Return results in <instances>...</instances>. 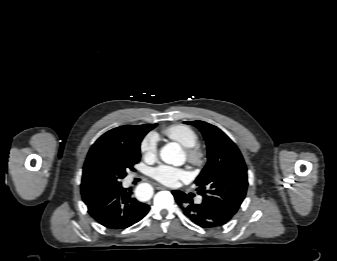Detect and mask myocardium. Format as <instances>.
Instances as JSON below:
<instances>
[{"instance_id": "myocardium-1", "label": "myocardium", "mask_w": 337, "mask_h": 261, "mask_svg": "<svg viewBox=\"0 0 337 261\" xmlns=\"http://www.w3.org/2000/svg\"><path fill=\"white\" fill-rule=\"evenodd\" d=\"M188 161L194 166H203L206 163V151L200 145H194L186 148Z\"/></svg>"}]
</instances>
